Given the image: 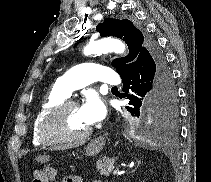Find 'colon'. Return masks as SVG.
I'll return each instance as SVG.
<instances>
[{
  "instance_id": "1",
  "label": "colon",
  "mask_w": 211,
  "mask_h": 182,
  "mask_svg": "<svg viewBox=\"0 0 211 182\" xmlns=\"http://www.w3.org/2000/svg\"><path fill=\"white\" fill-rule=\"evenodd\" d=\"M55 169L53 167H45L42 171H35L32 182H49L54 179Z\"/></svg>"
}]
</instances>
